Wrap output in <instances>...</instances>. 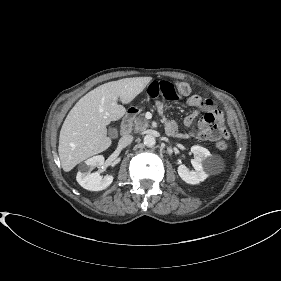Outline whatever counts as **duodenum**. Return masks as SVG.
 <instances>
[{"label":"duodenum","instance_id":"duodenum-1","mask_svg":"<svg viewBox=\"0 0 281 281\" xmlns=\"http://www.w3.org/2000/svg\"><path fill=\"white\" fill-rule=\"evenodd\" d=\"M135 114H136V111L131 109L129 110L125 116L123 117V120H122V125H121V129H120V132L121 134H126L129 132L130 130V127H131V123L135 117Z\"/></svg>","mask_w":281,"mask_h":281}]
</instances>
